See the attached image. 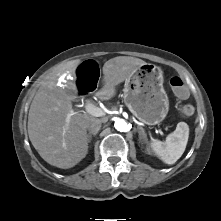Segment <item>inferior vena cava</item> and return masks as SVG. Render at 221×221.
I'll use <instances>...</instances> for the list:
<instances>
[{
	"label": "inferior vena cava",
	"mask_w": 221,
	"mask_h": 221,
	"mask_svg": "<svg viewBox=\"0 0 221 221\" xmlns=\"http://www.w3.org/2000/svg\"><path fill=\"white\" fill-rule=\"evenodd\" d=\"M86 128L89 133H97L101 128V120L99 119H91L86 124Z\"/></svg>",
	"instance_id": "602c4592"
}]
</instances>
